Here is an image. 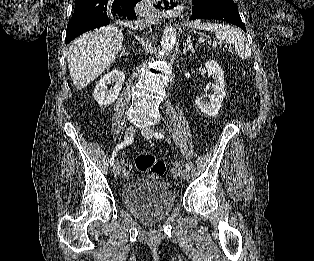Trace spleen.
<instances>
[{
	"label": "spleen",
	"instance_id": "1",
	"mask_svg": "<svg viewBox=\"0 0 314 261\" xmlns=\"http://www.w3.org/2000/svg\"><path fill=\"white\" fill-rule=\"evenodd\" d=\"M190 27L213 32L217 39L234 47L236 54L241 59L251 57V48L244 33L233 26L221 23H202L200 20H195L190 23Z\"/></svg>",
	"mask_w": 314,
	"mask_h": 261
}]
</instances>
